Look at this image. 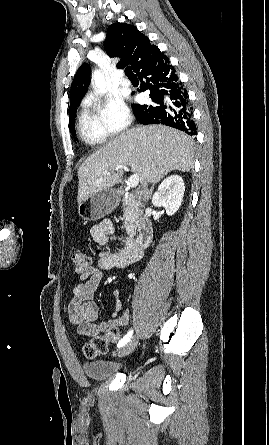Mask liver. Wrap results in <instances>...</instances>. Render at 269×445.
<instances>
[{"instance_id":"obj_1","label":"liver","mask_w":269,"mask_h":445,"mask_svg":"<svg viewBox=\"0 0 269 445\" xmlns=\"http://www.w3.org/2000/svg\"><path fill=\"white\" fill-rule=\"evenodd\" d=\"M119 165H128L142 185L156 183L172 170L193 167V141L185 133L149 125L121 133L90 155L78 169V204L122 182ZM107 173H110L107 175Z\"/></svg>"}]
</instances>
